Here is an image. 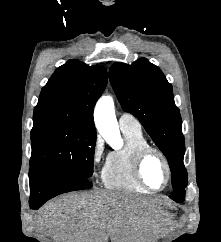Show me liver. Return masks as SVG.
Returning a JSON list of instances; mask_svg holds the SVG:
<instances>
[{
    "label": "liver",
    "instance_id": "1",
    "mask_svg": "<svg viewBox=\"0 0 221 242\" xmlns=\"http://www.w3.org/2000/svg\"><path fill=\"white\" fill-rule=\"evenodd\" d=\"M165 205L129 192L71 193L44 205L36 223L54 242H154Z\"/></svg>",
    "mask_w": 221,
    "mask_h": 242
}]
</instances>
